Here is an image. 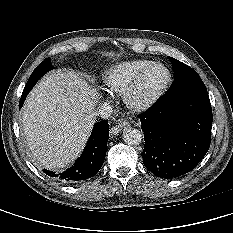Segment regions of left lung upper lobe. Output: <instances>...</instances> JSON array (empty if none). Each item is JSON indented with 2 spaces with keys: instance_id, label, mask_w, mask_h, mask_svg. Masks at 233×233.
<instances>
[{
  "instance_id": "left-lung-upper-lobe-1",
  "label": "left lung upper lobe",
  "mask_w": 233,
  "mask_h": 233,
  "mask_svg": "<svg viewBox=\"0 0 233 233\" xmlns=\"http://www.w3.org/2000/svg\"><path fill=\"white\" fill-rule=\"evenodd\" d=\"M169 60L174 67L175 81L167 93H178L190 90L207 91L200 76L191 67L172 57H169Z\"/></svg>"
}]
</instances>
